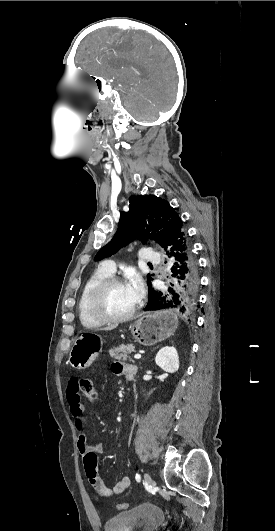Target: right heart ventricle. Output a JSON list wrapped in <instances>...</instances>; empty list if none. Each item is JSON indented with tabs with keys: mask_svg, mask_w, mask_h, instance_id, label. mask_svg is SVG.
Masks as SVG:
<instances>
[{
	"mask_svg": "<svg viewBox=\"0 0 275 531\" xmlns=\"http://www.w3.org/2000/svg\"><path fill=\"white\" fill-rule=\"evenodd\" d=\"M110 275H112V274L107 273L104 270H99V271L95 272L87 280V282L85 283V285H84V287H83V289L81 291V294H80V297H79V300H78L77 309H78L79 320H80L81 324L84 327H86V328L93 329V328H97V327L102 325L101 321L93 318L90 315V313L88 311V307H87V302H88L89 296L91 295V293L94 290V288L103 279H105L106 277H108Z\"/></svg>",
	"mask_w": 275,
	"mask_h": 531,
	"instance_id": "e07e8e85",
	"label": "right heart ventricle"
}]
</instances>
